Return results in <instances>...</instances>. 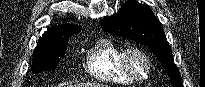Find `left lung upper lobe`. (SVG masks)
I'll return each instance as SVG.
<instances>
[{
  "instance_id": "obj_1",
  "label": "left lung upper lobe",
  "mask_w": 205,
  "mask_h": 87,
  "mask_svg": "<svg viewBox=\"0 0 205 87\" xmlns=\"http://www.w3.org/2000/svg\"><path fill=\"white\" fill-rule=\"evenodd\" d=\"M100 24L111 34L147 46L170 76L172 86L184 87L166 36L159 21L147 5L129 0L121 6L117 14L105 17Z\"/></svg>"
}]
</instances>
